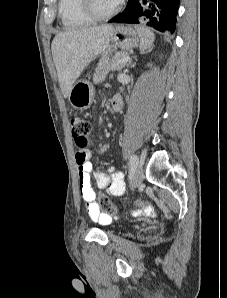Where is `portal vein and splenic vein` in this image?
<instances>
[{"instance_id":"18ae733b","label":"portal vein and splenic vein","mask_w":227,"mask_h":298,"mask_svg":"<svg viewBox=\"0 0 227 298\" xmlns=\"http://www.w3.org/2000/svg\"><path fill=\"white\" fill-rule=\"evenodd\" d=\"M130 59V57L127 55V56H123L116 64H119V63H126L128 62ZM116 64H114L113 66H115Z\"/></svg>"}]
</instances>
